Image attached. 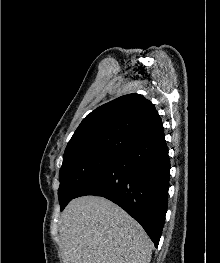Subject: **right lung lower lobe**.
I'll list each match as a JSON object with an SVG mask.
<instances>
[{"instance_id":"obj_1","label":"right lung lower lobe","mask_w":220,"mask_h":263,"mask_svg":"<svg viewBox=\"0 0 220 263\" xmlns=\"http://www.w3.org/2000/svg\"><path fill=\"white\" fill-rule=\"evenodd\" d=\"M170 160L164 132L125 148L76 195L105 197L122 207L145 229L155 247L167 211Z\"/></svg>"}]
</instances>
